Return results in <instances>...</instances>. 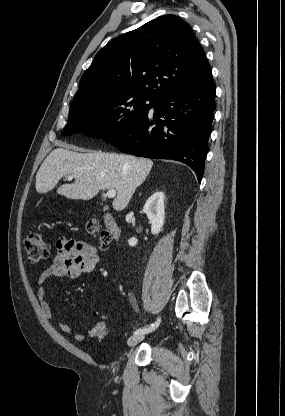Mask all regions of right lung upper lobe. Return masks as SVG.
<instances>
[{"instance_id": "1", "label": "right lung upper lobe", "mask_w": 285, "mask_h": 416, "mask_svg": "<svg viewBox=\"0 0 285 416\" xmlns=\"http://www.w3.org/2000/svg\"><path fill=\"white\" fill-rule=\"evenodd\" d=\"M212 78L188 23L160 16L107 43L81 77L70 111L133 96L155 103Z\"/></svg>"}]
</instances>
